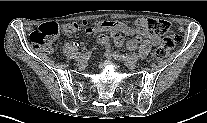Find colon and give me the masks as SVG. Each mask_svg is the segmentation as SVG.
Instances as JSON below:
<instances>
[{
	"label": "colon",
	"instance_id": "obj_1",
	"mask_svg": "<svg viewBox=\"0 0 207 123\" xmlns=\"http://www.w3.org/2000/svg\"><path fill=\"white\" fill-rule=\"evenodd\" d=\"M135 25L138 28H146L156 34L163 36L162 45L154 53V58L158 61L165 59L169 50H171L176 45V35L172 31L170 24L165 20L142 18L137 19L135 21ZM84 27V23L71 22L64 25L62 29L65 35L73 37L76 36ZM60 30L61 28L57 23L43 24L30 33V42L34 47L52 51V43L59 35Z\"/></svg>",
	"mask_w": 207,
	"mask_h": 123
}]
</instances>
